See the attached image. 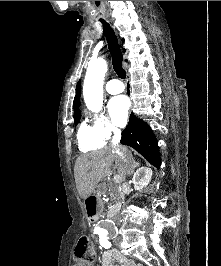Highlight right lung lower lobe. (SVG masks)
<instances>
[{
	"instance_id": "right-lung-lower-lobe-1",
	"label": "right lung lower lobe",
	"mask_w": 221,
	"mask_h": 266,
	"mask_svg": "<svg viewBox=\"0 0 221 266\" xmlns=\"http://www.w3.org/2000/svg\"><path fill=\"white\" fill-rule=\"evenodd\" d=\"M121 143L128 145L159 168L161 164L158 143L151 128L132 113L126 128L122 131Z\"/></svg>"
}]
</instances>
